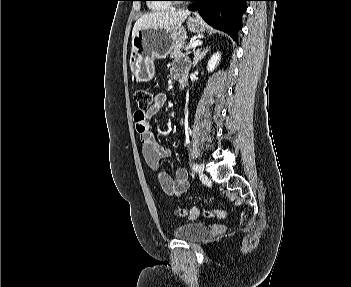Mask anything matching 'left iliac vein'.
<instances>
[{"label": "left iliac vein", "instance_id": "1", "mask_svg": "<svg viewBox=\"0 0 351 287\" xmlns=\"http://www.w3.org/2000/svg\"><path fill=\"white\" fill-rule=\"evenodd\" d=\"M197 173H198V176H199L200 178H205V177H206V175H205V173H204V165L200 164V165L198 166Z\"/></svg>", "mask_w": 351, "mask_h": 287}]
</instances>
